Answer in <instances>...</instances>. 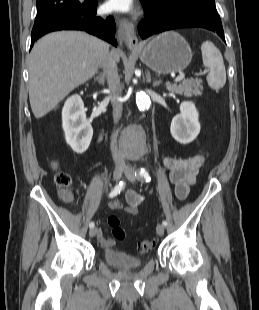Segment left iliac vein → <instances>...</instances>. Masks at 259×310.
I'll return each instance as SVG.
<instances>
[{
	"label": "left iliac vein",
	"mask_w": 259,
	"mask_h": 310,
	"mask_svg": "<svg viewBox=\"0 0 259 310\" xmlns=\"http://www.w3.org/2000/svg\"><path fill=\"white\" fill-rule=\"evenodd\" d=\"M125 175L131 182H134L136 179V171L131 166L126 167ZM156 232L159 236H162L164 234V226L162 224H158L156 227Z\"/></svg>",
	"instance_id": "obj_1"
}]
</instances>
